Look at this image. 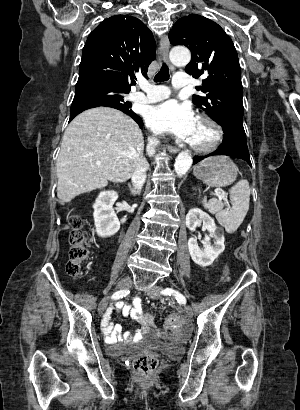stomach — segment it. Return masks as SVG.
I'll return each instance as SVG.
<instances>
[{
  "mask_svg": "<svg viewBox=\"0 0 300 410\" xmlns=\"http://www.w3.org/2000/svg\"><path fill=\"white\" fill-rule=\"evenodd\" d=\"M236 165L226 156L210 157L194 168V175L207 185L223 187L231 184L237 177Z\"/></svg>",
  "mask_w": 300,
  "mask_h": 410,
  "instance_id": "stomach-1",
  "label": "stomach"
}]
</instances>
